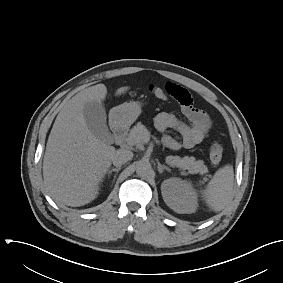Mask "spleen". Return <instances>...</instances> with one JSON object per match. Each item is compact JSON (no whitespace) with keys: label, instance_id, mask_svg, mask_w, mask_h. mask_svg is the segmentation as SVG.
I'll return each instance as SVG.
<instances>
[{"label":"spleen","instance_id":"spleen-1","mask_svg":"<svg viewBox=\"0 0 283 283\" xmlns=\"http://www.w3.org/2000/svg\"><path fill=\"white\" fill-rule=\"evenodd\" d=\"M233 186V166L225 165L216 171L206 188L200 192L208 206L218 212L223 210L232 199Z\"/></svg>","mask_w":283,"mask_h":283}]
</instances>
